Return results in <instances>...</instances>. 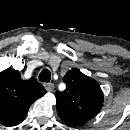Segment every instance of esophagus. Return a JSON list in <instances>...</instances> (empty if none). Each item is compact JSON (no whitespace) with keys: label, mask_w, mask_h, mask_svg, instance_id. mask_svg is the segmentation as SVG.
Masks as SVG:
<instances>
[{"label":"esophagus","mask_w":130,"mask_h":130,"mask_svg":"<svg viewBox=\"0 0 130 130\" xmlns=\"http://www.w3.org/2000/svg\"><path fill=\"white\" fill-rule=\"evenodd\" d=\"M44 87L45 89L48 91V92H52L54 90V84L53 83H45L44 84Z\"/></svg>","instance_id":"1"}]
</instances>
